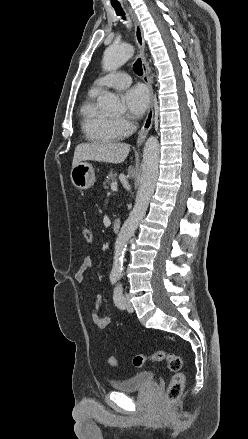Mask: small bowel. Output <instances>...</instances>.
Wrapping results in <instances>:
<instances>
[{
    "label": "small bowel",
    "mask_w": 248,
    "mask_h": 439,
    "mask_svg": "<svg viewBox=\"0 0 248 439\" xmlns=\"http://www.w3.org/2000/svg\"><path fill=\"white\" fill-rule=\"evenodd\" d=\"M92 259L90 257H85L78 269L75 273V281L79 284H82L85 279V273L91 268ZM102 309V297L97 294L94 298L93 302V311H92V321L93 324L99 329H105L109 326L111 319L109 317L103 316L101 314Z\"/></svg>",
    "instance_id": "c3829d8e"
}]
</instances>
